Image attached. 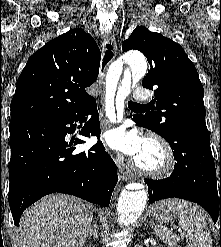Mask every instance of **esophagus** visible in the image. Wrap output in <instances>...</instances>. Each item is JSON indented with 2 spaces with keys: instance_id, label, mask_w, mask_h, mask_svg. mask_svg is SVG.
Wrapping results in <instances>:
<instances>
[{
  "instance_id": "1",
  "label": "esophagus",
  "mask_w": 221,
  "mask_h": 247,
  "mask_svg": "<svg viewBox=\"0 0 221 247\" xmlns=\"http://www.w3.org/2000/svg\"><path fill=\"white\" fill-rule=\"evenodd\" d=\"M117 55V44L115 41V37L112 34L107 35L104 37L103 41V49H102V57L100 63V71L98 76V81L100 86L104 84V77L106 70L110 63L115 59ZM118 105L120 107V112L123 114V99L118 98ZM119 159V158H118ZM119 175L122 180L128 181L132 179V174L128 171H125L123 168L119 166Z\"/></svg>"
}]
</instances>
